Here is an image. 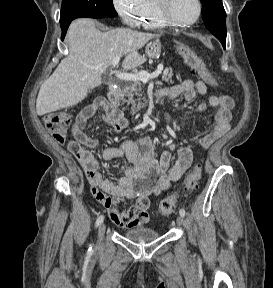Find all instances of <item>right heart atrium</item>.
<instances>
[{"label":"right heart atrium","instance_id":"right-heart-atrium-1","mask_svg":"<svg viewBox=\"0 0 273 288\" xmlns=\"http://www.w3.org/2000/svg\"><path fill=\"white\" fill-rule=\"evenodd\" d=\"M112 4L125 24L137 26L146 7V0H112Z\"/></svg>","mask_w":273,"mask_h":288}]
</instances>
